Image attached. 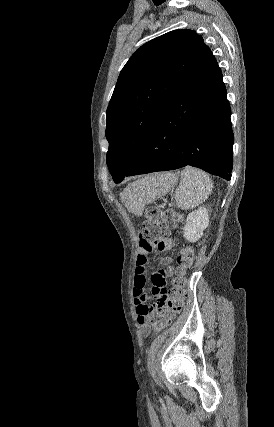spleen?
Here are the masks:
<instances>
[{
    "label": "spleen",
    "mask_w": 274,
    "mask_h": 427,
    "mask_svg": "<svg viewBox=\"0 0 274 427\" xmlns=\"http://www.w3.org/2000/svg\"><path fill=\"white\" fill-rule=\"evenodd\" d=\"M181 180L179 184L178 190H176L174 196L176 200V206L181 208V210H193L199 204H203L204 200H207L208 196H210L213 188V184L205 174V172H201L198 168H191V166H186L185 170L180 172ZM134 186H137L135 190L138 188H145V190H150L151 186L153 188V194H148L146 200H150L153 196H156L157 192L154 188L156 186V180H139V182H134ZM163 194V192H158Z\"/></svg>",
    "instance_id": "1"
}]
</instances>
